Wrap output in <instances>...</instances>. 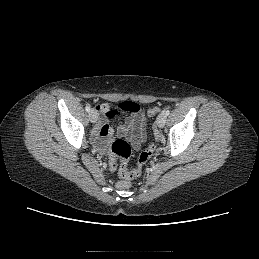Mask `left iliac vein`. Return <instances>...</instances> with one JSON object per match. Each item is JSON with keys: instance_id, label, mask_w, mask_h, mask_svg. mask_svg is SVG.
Wrapping results in <instances>:
<instances>
[{"instance_id": "obj_1", "label": "left iliac vein", "mask_w": 259, "mask_h": 259, "mask_svg": "<svg viewBox=\"0 0 259 259\" xmlns=\"http://www.w3.org/2000/svg\"><path fill=\"white\" fill-rule=\"evenodd\" d=\"M167 120V116L165 115L164 112L160 113L156 119V123L158 127L162 128L165 126Z\"/></svg>"}]
</instances>
